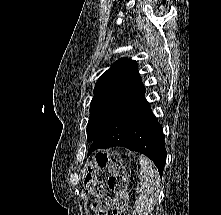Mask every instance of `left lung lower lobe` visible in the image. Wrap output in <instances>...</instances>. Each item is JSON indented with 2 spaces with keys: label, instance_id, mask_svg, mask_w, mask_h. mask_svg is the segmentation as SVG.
I'll return each mask as SVG.
<instances>
[{
  "label": "left lung lower lobe",
  "instance_id": "0a47b994",
  "mask_svg": "<svg viewBox=\"0 0 221 215\" xmlns=\"http://www.w3.org/2000/svg\"><path fill=\"white\" fill-rule=\"evenodd\" d=\"M114 146L145 154L162 176L166 163L164 136L144 96L92 141L88 156L97 149Z\"/></svg>",
  "mask_w": 221,
  "mask_h": 215
}]
</instances>
